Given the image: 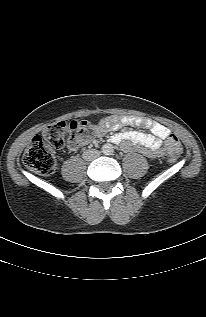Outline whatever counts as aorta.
I'll return each mask as SVG.
<instances>
[{
    "label": "aorta",
    "instance_id": "1",
    "mask_svg": "<svg viewBox=\"0 0 206 317\" xmlns=\"http://www.w3.org/2000/svg\"><path fill=\"white\" fill-rule=\"evenodd\" d=\"M102 152L105 155H111L114 152L112 144H109V143L108 144H104L102 146Z\"/></svg>",
    "mask_w": 206,
    "mask_h": 317
}]
</instances>
